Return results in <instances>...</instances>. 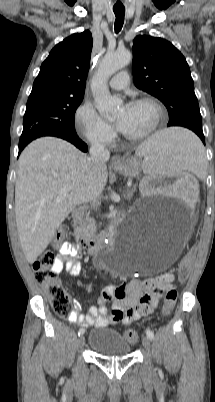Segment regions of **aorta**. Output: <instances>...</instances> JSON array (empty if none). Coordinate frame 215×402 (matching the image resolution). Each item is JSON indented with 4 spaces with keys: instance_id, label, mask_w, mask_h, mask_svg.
<instances>
[{
    "instance_id": "1",
    "label": "aorta",
    "mask_w": 215,
    "mask_h": 402,
    "mask_svg": "<svg viewBox=\"0 0 215 402\" xmlns=\"http://www.w3.org/2000/svg\"><path fill=\"white\" fill-rule=\"evenodd\" d=\"M131 60L132 54L128 50L106 54L92 80L91 91L96 107L99 113L108 120L115 118L122 105V100L110 94L107 81L114 73L128 65ZM113 235L114 231L111 228L108 237L109 241L113 239ZM100 258L109 262L114 269L122 267V257H115V251L111 247L102 251Z\"/></svg>"
}]
</instances>
